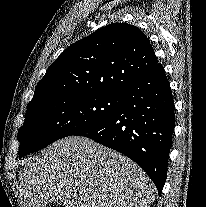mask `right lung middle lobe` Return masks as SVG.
I'll return each instance as SVG.
<instances>
[{"instance_id": "1", "label": "right lung middle lobe", "mask_w": 206, "mask_h": 207, "mask_svg": "<svg viewBox=\"0 0 206 207\" xmlns=\"http://www.w3.org/2000/svg\"><path fill=\"white\" fill-rule=\"evenodd\" d=\"M121 102V94L78 95L52 98L27 108L18 133V154H30L99 124L112 116Z\"/></svg>"}]
</instances>
